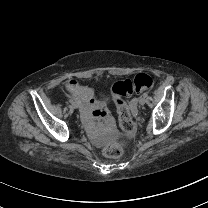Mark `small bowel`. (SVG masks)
<instances>
[{"instance_id": "1", "label": "small bowel", "mask_w": 208, "mask_h": 208, "mask_svg": "<svg viewBox=\"0 0 208 208\" xmlns=\"http://www.w3.org/2000/svg\"><path fill=\"white\" fill-rule=\"evenodd\" d=\"M80 85L81 80L79 78L67 81L63 84L62 89L55 91V96L60 100H74V103L81 108V119L89 130L90 139L95 146H101L106 141L108 132L115 127V122L108 116L107 110H97V104L101 102V97L99 95L92 96L91 90L80 88ZM72 90L76 93L75 95ZM104 90L105 85L103 83H98L94 87L96 94H101ZM64 113L69 115L71 110L66 108ZM98 119L101 120V124L97 128V124L93 121Z\"/></svg>"}]
</instances>
